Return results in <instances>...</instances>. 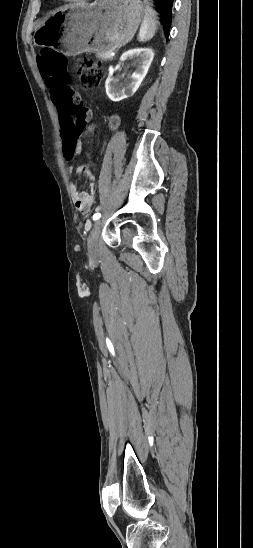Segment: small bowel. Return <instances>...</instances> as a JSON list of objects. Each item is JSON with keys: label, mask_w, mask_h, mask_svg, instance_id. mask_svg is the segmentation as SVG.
Instances as JSON below:
<instances>
[{"label": "small bowel", "mask_w": 253, "mask_h": 548, "mask_svg": "<svg viewBox=\"0 0 253 548\" xmlns=\"http://www.w3.org/2000/svg\"><path fill=\"white\" fill-rule=\"evenodd\" d=\"M41 75L43 76L42 72H41ZM70 80H71V77H70ZM46 85L48 87L47 83H46ZM82 149H83V141L80 137H77V139H75V143H74L73 149H72L73 150V156L75 154L79 155L82 152ZM64 153H65V150H64ZM65 157H66V155H65ZM69 170H70V172H72V167L71 166L69 167ZM88 177L91 180V184H90L91 189H90L89 193L79 191L78 186L74 182H72L70 184V191H71V196H72L74 205H75L77 210H79L80 212H83V213L88 212L89 209L91 208V206L93 205L94 193H95V188H96L94 176L89 175Z\"/></svg>", "instance_id": "1"}]
</instances>
